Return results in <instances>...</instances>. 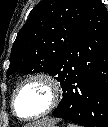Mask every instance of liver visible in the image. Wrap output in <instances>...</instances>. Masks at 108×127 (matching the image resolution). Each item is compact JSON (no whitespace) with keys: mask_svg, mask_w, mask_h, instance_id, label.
<instances>
[{"mask_svg":"<svg viewBox=\"0 0 108 127\" xmlns=\"http://www.w3.org/2000/svg\"><path fill=\"white\" fill-rule=\"evenodd\" d=\"M53 123H57V119H47V120H43V121H38L33 124H29L26 127L44 126V125H49V124H53Z\"/></svg>","mask_w":108,"mask_h":127,"instance_id":"6515ba94","label":"liver"}]
</instances>
